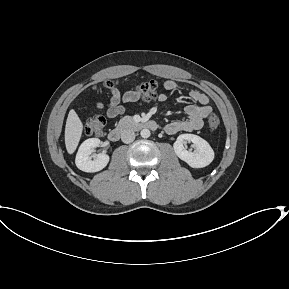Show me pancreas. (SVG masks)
Segmentation results:
<instances>
[{"mask_svg": "<svg viewBox=\"0 0 289 289\" xmlns=\"http://www.w3.org/2000/svg\"><path fill=\"white\" fill-rule=\"evenodd\" d=\"M129 122H132V117L125 116L119 121V124L122 125V124L129 123Z\"/></svg>", "mask_w": 289, "mask_h": 289, "instance_id": "pancreas-1", "label": "pancreas"}]
</instances>
